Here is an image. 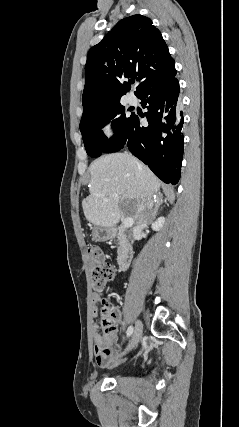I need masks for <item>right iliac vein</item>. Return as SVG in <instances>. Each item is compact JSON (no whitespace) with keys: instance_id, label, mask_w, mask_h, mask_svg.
<instances>
[{"instance_id":"obj_1","label":"right iliac vein","mask_w":239,"mask_h":427,"mask_svg":"<svg viewBox=\"0 0 239 427\" xmlns=\"http://www.w3.org/2000/svg\"><path fill=\"white\" fill-rule=\"evenodd\" d=\"M142 331H143V325L140 321H137V323L135 325L134 333L132 335V338H131L129 344L127 345V347L124 351V354L131 351L132 349H134L137 346L138 342L141 339Z\"/></svg>"}]
</instances>
